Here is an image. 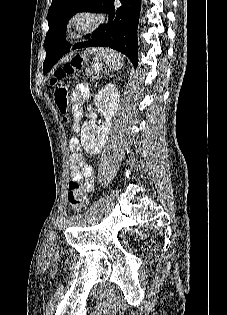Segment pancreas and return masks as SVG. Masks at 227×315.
<instances>
[{"mask_svg": "<svg viewBox=\"0 0 227 315\" xmlns=\"http://www.w3.org/2000/svg\"><path fill=\"white\" fill-rule=\"evenodd\" d=\"M98 71H99V70L96 68V65H93L92 68H89V69H88V72H89L90 74H97Z\"/></svg>", "mask_w": 227, "mask_h": 315, "instance_id": "cf45deb5", "label": "pancreas"}]
</instances>
